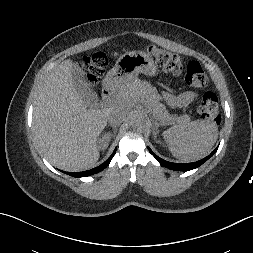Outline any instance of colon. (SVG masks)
I'll return each mask as SVG.
<instances>
[{
    "mask_svg": "<svg viewBox=\"0 0 253 253\" xmlns=\"http://www.w3.org/2000/svg\"><path fill=\"white\" fill-rule=\"evenodd\" d=\"M145 50L163 69L174 75H182L183 83L186 86L202 88L207 85V75L197 61H190L184 65L178 55L156 46H146ZM106 65L107 58L102 52H97L86 57L83 61V70L87 83L95 85L101 78ZM197 111L202 120L215 125L220 124L221 117L218 110V98L213 92L207 91L204 93Z\"/></svg>",
    "mask_w": 253,
    "mask_h": 253,
    "instance_id": "obj_1",
    "label": "colon"
}]
</instances>
